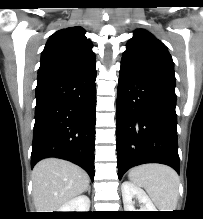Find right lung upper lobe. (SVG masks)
Wrapping results in <instances>:
<instances>
[{
	"label": "right lung upper lobe",
	"mask_w": 203,
	"mask_h": 219,
	"mask_svg": "<svg viewBox=\"0 0 203 219\" xmlns=\"http://www.w3.org/2000/svg\"><path fill=\"white\" fill-rule=\"evenodd\" d=\"M84 34L85 30L77 26L61 29L51 35L41 55L38 72L94 63L92 43Z\"/></svg>",
	"instance_id": "obj_1"
}]
</instances>
